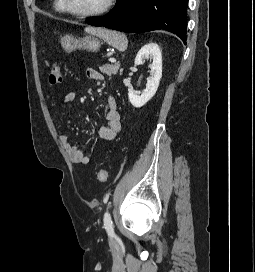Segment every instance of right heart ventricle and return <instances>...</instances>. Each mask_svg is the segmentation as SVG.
<instances>
[{
  "mask_svg": "<svg viewBox=\"0 0 255 272\" xmlns=\"http://www.w3.org/2000/svg\"><path fill=\"white\" fill-rule=\"evenodd\" d=\"M53 7L58 13H62V14L67 13L63 7L61 0H54Z\"/></svg>",
  "mask_w": 255,
  "mask_h": 272,
  "instance_id": "1",
  "label": "right heart ventricle"
}]
</instances>
